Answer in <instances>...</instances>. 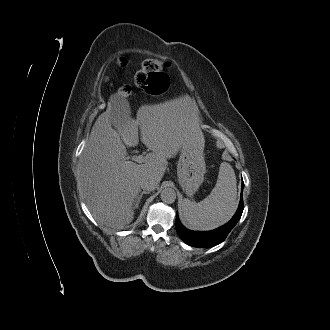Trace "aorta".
I'll return each mask as SVG.
<instances>
[{
	"mask_svg": "<svg viewBox=\"0 0 330 330\" xmlns=\"http://www.w3.org/2000/svg\"><path fill=\"white\" fill-rule=\"evenodd\" d=\"M160 197L163 202L171 204L176 200V192L173 188H164Z\"/></svg>",
	"mask_w": 330,
	"mask_h": 330,
	"instance_id": "1",
	"label": "aorta"
}]
</instances>
